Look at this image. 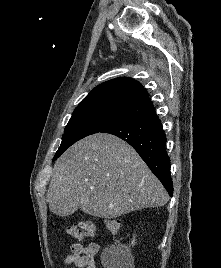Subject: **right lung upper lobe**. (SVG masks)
<instances>
[{
  "mask_svg": "<svg viewBox=\"0 0 221 268\" xmlns=\"http://www.w3.org/2000/svg\"><path fill=\"white\" fill-rule=\"evenodd\" d=\"M103 110L130 121L155 112L148 93L130 78H115L95 87L74 112Z\"/></svg>",
  "mask_w": 221,
  "mask_h": 268,
  "instance_id": "1",
  "label": "right lung upper lobe"
}]
</instances>
